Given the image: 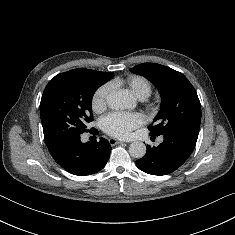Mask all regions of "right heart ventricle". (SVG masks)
<instances>
[{
  "label": "right heart ventricle",
  "instance_id": "right-heart-ventricle-1",
  "mask_svg": "<svg viewBox=\"0 0 235 235\" xmlns=\"http://www.w3.org/2000/svg\"><path fill=\"white\" fill-rule=\"evenodd\" d=\"M113 87H124L138 99H146L152 92V86L148 79L140 75H130L125 78H118L110 83Z\"/></svg>",
  "mask_w": 235,
  "mask_h": 235
}]
</instances>
